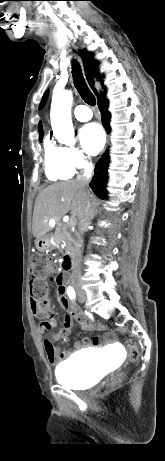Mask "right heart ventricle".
I'll return each mask as SVG.
<instances>
[{
    "label": "right heart ventricle",
    "instance_id": "e07e8e85",
    "mask_svg": "<svg viewBox=\"0 0 165 461\" xmlns=\"http://www.w3.org/2000/svg\"><path fill=\"white\" fill-rule=\"evenodd\" d=\"M44 170L51 181L69 179L74 173L66 161L64 148L54 145L50 139L44 142Z\"/></svg>",
    "mask_w": 165,
    "mask_h": 461
}]
</instances>
